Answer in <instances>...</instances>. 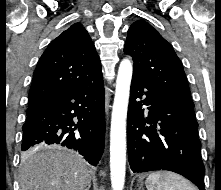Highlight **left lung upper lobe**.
I'll list each match as a JSON object with an SVG mask.
<instances>
[{"instance_id": "1", "label": "left lung upper lobe", "mask_w": 221, "mask_h": 190, "mask_svg": "<svg viewBox=\"0 0 221 190\" xmlns=\"http://www.w3.org/2000/svg\"><path fill=\"white\" fill-rule=\"evenodd\" d=\"M124 52L133 57V75L150 81L180 104L194 109L180 59L150 24L138 20L130 26Z\"/></svg>"}]
</instances>
